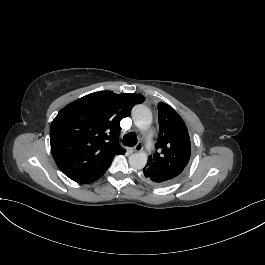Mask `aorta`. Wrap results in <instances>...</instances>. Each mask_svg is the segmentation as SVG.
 Here are the masks:
<instances>
[{"mask_svg": "<svg viewBox=\"0 0 265 265\" xmlns=\"http://www.w3.org/2000/svg\"><path fill=\"white\" fill-rule=\"evenodd\" d=\"M132 116L137 127L144 129L152 123V114L145 105H137L133 108ZM147 154L143 152L134 153L129 157V164L134 170H141L147 164Z\"/></svg>", "mask_w": 265, "mask_h": 265, "instance_id": "762f6f07", "label": "aorta"}]
</instances>
